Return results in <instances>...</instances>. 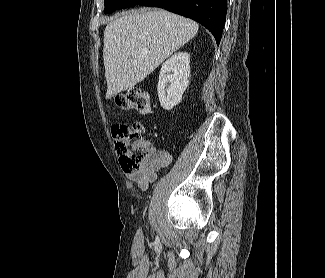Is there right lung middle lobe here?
Instances as JSON below:
<instances>
[{"label":"right lung middle lobe","mask_w":325,"mask_h":278,"mask_svg":"<svg viewBox=\"0 0 325 278\" xmlns=\"http://www.w3.org/2000/svg\"><path fill=\"white\" fill-rule=\"evenodd\" d=\"M138 0H105L104 13H112L117 9L128 8L136 5Z\"/></svg>","instance_id":"dd1d6c3e"}]
</instances>
